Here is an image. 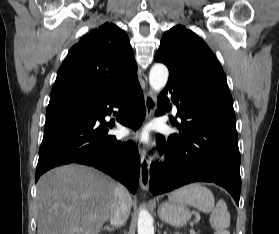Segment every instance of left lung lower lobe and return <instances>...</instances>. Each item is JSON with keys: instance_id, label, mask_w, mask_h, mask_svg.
Here are the masks:
<instances>
[{"instance_id": "1", "label": "left lung lower lobe", "mask_w": 279, "mask_h": 234, "mask_svg": "<svg viewBox=\"0 0 279 234\" xmlns=\"http://www.w3.org/2000/svg\"><path fill=\"white\" fill-rule=\"evenodd\" d=\"M168 94L177 105L181 124L172 123L182 133L157 136L158 146L167 157L150 166L149 188L162 194L195 181L214 182L224 187L239 204L241 191L240 153L236 117L231 98L187 86L169 76L158 97L156 115L164 114Z\"/></svg>"}]
</instances>
